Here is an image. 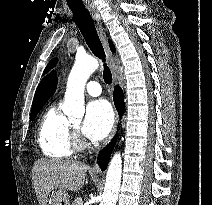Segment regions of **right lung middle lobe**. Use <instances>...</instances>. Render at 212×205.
I'll use <instances>...</instances> for the list:
<instances>
[{"instance_id": "1", "label": "right lung middle lobe", "mask_w": 212, "mask_h": 205, "mask_svg": "<svg viewBox=\"0 0 212 205\" xmlns=\"http://www.w3.org/2000/svg\"><path fill=\"white\" fill-rule=\"evenodd\" d=\"M42 106L43 105H39V106H34L31 108V115H30L31 120L35 119L37 113L41 110Z\"/></svg>"}]
</instances>
